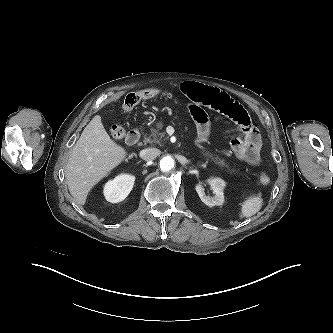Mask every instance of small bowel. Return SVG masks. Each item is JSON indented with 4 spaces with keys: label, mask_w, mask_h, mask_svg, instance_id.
<instances>
[{
    "label": "small bowel",
    "mask_w": 333,
    "mask_h": 333,
    "mask_svg": "<svg viewBox=\"0 0 333 333\" xmlns=\"http://www.w3.org/2000/svg\"><path fill=\"white\" fill-rule=\"evenodd\" d=\"M180 91L192 102L190 112L196 124L199 143L206 141L210 134L209 118L203 109L206 107L224 114L239 125L240 135L230 141L233 154L251 165L260 162L262 144L259 132L240 103L217 88L199 83H182Z\"/></svg>",
    "instance_id": "1"
}]
</instances>
